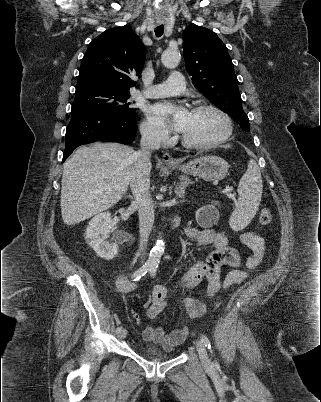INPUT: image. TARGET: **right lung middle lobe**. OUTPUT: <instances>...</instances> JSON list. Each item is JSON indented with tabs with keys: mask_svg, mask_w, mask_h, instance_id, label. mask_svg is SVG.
Segmentation results:
<instances>
[{
	"mask_svg": "<svg viewBox=\"0 0 321 402\" xmlns=\"http://www.w3.org/2000/svg\"><path fill=\"white\" fill-rule=\"evenodd\" d=\"M129 97V91L101 84L77 85L71 114L95 112L108 115H133L136 110L129 107L130 102L127 101Z\"/></svg>",
	"mask_w": 321,
	"mask_h": 402,
	"instance_id": "1",
	"label": "right lung middle lobe"
}]
</instances>
